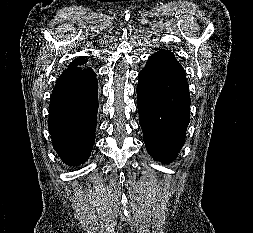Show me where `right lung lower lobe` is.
I'll return each mask as SVG.
<instances>
[{
	"instance_id": "1",
	"label": "right lung lower lobe",
	"mask_w": 253,
	"mask_h": 233,
	"mask_svg": "<svg viewBox=\"0 0 253 233\" xmlns=\"http://www.w3.org/2000/svg\"><path fill=\"white\" fill-rule=\"evenodd\" d=\"M98 82L91 68L68 67L53 89L48 127L63 162L78 166L91 153L97 124Z\"/></svg>"
}]
</instances>
